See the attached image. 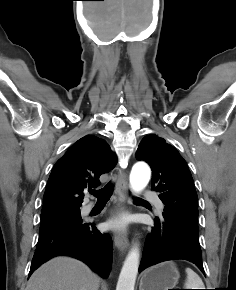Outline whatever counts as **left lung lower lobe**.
<instances>
[{"instance_id":"obj_1","label":"left lung lower lobe","mask_w":236,"mask_h":290,"mask_svg":"<svg viewBox=\"0 0 236 290\" xmlns=\"http://www.w3.org/2000/svg\"><path fill=\"white\" fill-rule=\"evenodd\" d=\"M175 259L194 263L203 273L199 233L170 219H156L147 236L139 272L154 264Z\"/></svg>"}]
</instances>
